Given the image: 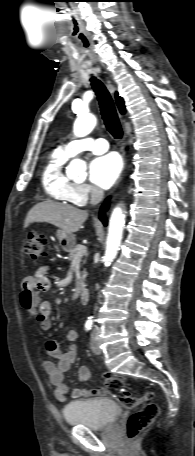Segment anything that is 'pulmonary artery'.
I'll return each mask as SVG.
<instances>
[{"instance_id": "1", "label": "pulmonary artery", "mask_w": 195, "mask_h": 456, "mask_svg": "<svg viewBox=\"0 0 195 456\" xmlns=\"http://www.w3.org/2000/svg\"><path fill=\"white\" fill-rule=\"evenodd\" d=\"M109 145L103 138L92 139L84 138L72 140L63 147L61 150L69 157L75 156L83 151H91L95 154H101L108 150Z\"/></svg>"}]
</instances>
